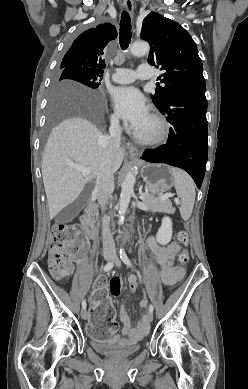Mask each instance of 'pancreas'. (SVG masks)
Segmentation results:
<instances>
[{
	"label": "pancreas",
	"instance_id": "pancreas-1",
	"mask_svg": "<svg viewBox=\"0 0 248 389\" xmlns=\"http://www.w3.org/2000/svg\"><path fill=\"white\" fill-rule=\"evenodd\" d=\"M145 199L143 202L154 211H163L167 213H174L175 208L172 206V202L167 198L165 200L159 197H154L150 193L144 194Z\"/></svg>",
	"mask_w": 248,
	"mask_h": 389
}]
</instances>
